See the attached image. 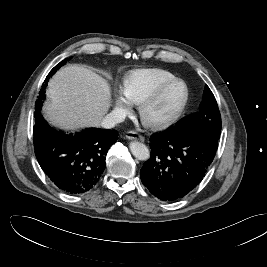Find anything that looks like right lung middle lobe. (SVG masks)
I'll return each mask as SVG.
<instances>
[{"instance_id":"right-lung-middle-lobe-1","label":"right lung middle lobe","mask_w":267,"mask_h":267,"mask_svg":"<svg viewBox=\"0 0 267 267\" xmlns=\"http://www.w3.org/2000/svg\"><path fill=\"white\" fill-rule=\"evenodd\" d=\"M70 59H71V57L68 58L67 60H70ZM67 60H63L62 62H60L59 64H57V65H56V66L49 72L48 76L46 77L45 82H44V84L42 85V88H41V90H40V92H39L40 96H39L38 100H37L36 103H35V107H36V108H35V116L40 114L39 112H40L41 107H42V100H44V98H45L44 94H45V89H46V86H47L48 79H49L52 75H54L55 72H56V70L59 69L62 65H64V64L66 63Z\"/></svg>"}]
</instances>
